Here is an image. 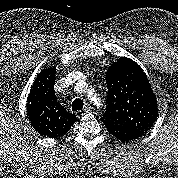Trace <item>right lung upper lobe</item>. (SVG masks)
I'll return each mask as SVG.
<instances>
[{
    "instance_id": "cb5924a9",
    "label": "right lung upper lobe",
    "mask_w": 178,
    "mask_h": 178,
    "mask_svg": "<svg viewBox=\"0 0 178 178\" xmlns=\"http://www.w3.org/2000/svg\"><path fill=\"white\" fill-rule=\"evenodd\" d=\"M56 68L44 69L38 74L27 100L31 126L47 138H57L69 131L76 116L67 112L57 101L54 91Z\"/></svg>"
}]
</instances>
